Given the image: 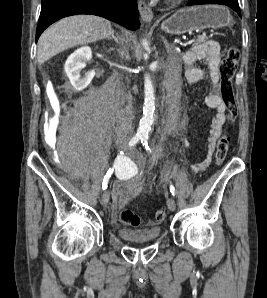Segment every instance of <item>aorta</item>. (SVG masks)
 Segmentation results:
<instances>
[{
  "label": "aorta",
  "instance_id": "obj_1",
  "mask_svg": "<svg viewBox=\"0 0 267 298\" xmlns=\"http://www.w3.org/2000/svg\"><path fill=\"white\" fill-rule=\"evenodd\" d=\"M144 93L145 100L143 106V117L140 120L138 133L146 134L151 130V126L154 122L155 112V96L154 87L149 74L145 75L144 79Z\"/></svg>",
  "mask_w": 267,
  "mask_h": 298
}]
</instances>
